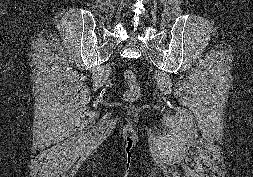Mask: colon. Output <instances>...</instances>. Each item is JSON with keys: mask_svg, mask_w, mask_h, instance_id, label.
<instances>
[{"mask_svg": "<svg viewBox=\"0 0 253 177\" xmlns=\"http://www.w3.org/2000/svg\"><path fill=\"white\" fill-rule=\"evenodd\" d=\"M124 80L127 84L125 98L128 101H135L140 95V86L138 84L136 75L130 69H125L123 72Z\"/></svg>", "mask_w": 253, "mask_h": 177, "instance_id": "colon-1", "label": "colon"}]
</instances>
